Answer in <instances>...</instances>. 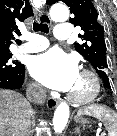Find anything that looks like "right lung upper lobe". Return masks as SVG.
Returning <instances> with one entry per match:
<instances>
[{
    "label": "right lung upper lobe",
    "mask_w": 117,
    "mask_h": 136,
    "mask_svg": "<svg viewBox=\"0 0 117 136\" xmlns=\"http://www.w3.org/2000/svg\"><path fill=\"white\" fill-rule=\"evenodd\" d=\"M32 15L29 0H0V53L9 52L11 40L21 35L19 24Z\"/></svg>",
    "instance_id": "1"
}]
</instances>
